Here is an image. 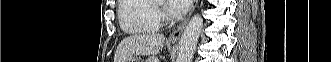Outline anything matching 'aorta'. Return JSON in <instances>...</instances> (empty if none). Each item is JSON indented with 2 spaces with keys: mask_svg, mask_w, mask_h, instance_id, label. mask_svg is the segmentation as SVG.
Wrapping results in <instances>:
<instances>
[{
  "mask_svg": "<svg viewBox=\"0 0 331 62\" xmlns=\"http://www.w3.org/2000/svg\"><path fill=\"white\" fill-rule=\"evenodd\" d=\"M202 28L203 18L199 14L194 15L181 36L177 62L192 61Z\"/></svg>",
  "mask_w": 331,
  "mask_h": 62,
  "instance_id": "obj_1",
  "label": "aorta"
}]
</instances>
